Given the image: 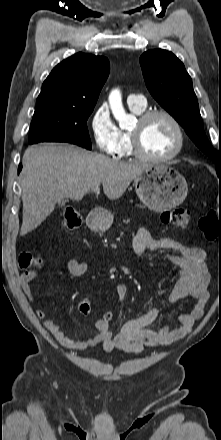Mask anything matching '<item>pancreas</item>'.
<instances>
[{
    "label": "pancreas",
    "instance_id": "1",
    "mask_svg": "<svg viewBox=\"0 0 221 440\" xmlns=\"http://www.w3.org/2000/svg\"><path fill=\"white\" fill-rule=\"evenodd\" d=\"M123 222H124V223H129V219H128V220H124Z\"/></svg>",
    "mask_w": 221,
    "mask_h": 440
}]
</instances>
